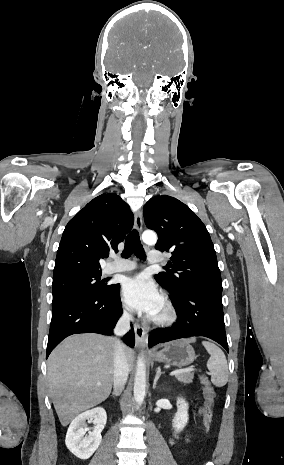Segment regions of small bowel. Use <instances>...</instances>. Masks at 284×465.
I'll use <instances>...</instances> for the list:
<instances>
[{
	"instance_id": "obj_1",
	"label": "small bowel",
	"mask_w": 284,
	"mask_h": 465,
	"mask_svg": "<svg viewBox=\"0 0 284 465\" xmlns=\"http://www.w3.org/2000/svg\"><path fill=\"white\" fill-rule=\"evenodd\" d=\"M199 415H203V416L205 415V408H201V409L199 410ZM177 438H178V435L176 434V435L171 439V441H170L171 444H174V443H175V440H176ZM187 440H188V438H187Z\"/></svg>"
}]
</instances>
